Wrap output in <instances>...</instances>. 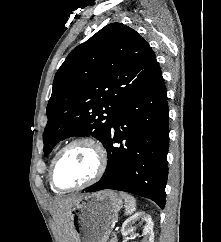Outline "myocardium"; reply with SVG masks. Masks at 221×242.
<instances>
[{
    "instance_id": "obj_1",
    "label": "myocardium",
    "mask_w": 221,
    "mask_h": 242,
    "mask_svg": "<svg viewBox=\"0 0 221 242\" xmlns=\"http://www.w3.org/2000/svg\"><path fill=\"white\" fill-rule=\"evenodd\" d=\"M88 144L90 145L93 150L96 153V157H97V166H96V170L94 172V174L92 175L91 178H89L88 180H86L83 183H80L78 185H74L71 187H59L54 179V170L56 167V164L58 162V160L60 159V157L63 155V153L70 148L73 145L76 144ZM107 166V155H106V151L104 149V147L102 146V144L100 142H98L97 140H95L92 137H88V136H80V137H76L73 138L72 140H70L69 142H67L64 146H62L58 152L55 154V156L53 157L51 164H50V168H49V181H50V185L59 191H74V190H79L85 187H88L92 184H94L96 181H98L102 175L105 172Z\"/></svg>"
}]
</instances>
